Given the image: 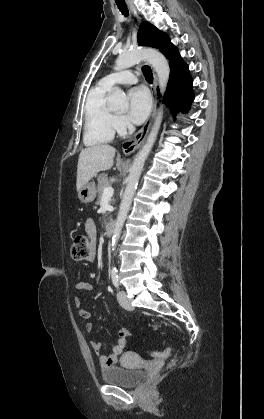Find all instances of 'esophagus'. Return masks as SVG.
<instances>
[{"label": "esophagus", "instance_id": "esophagus-1", "mask_svg": "<svg viewBox=\"0 0 264 419\" xmlns=\"http://www.w3.org/2000/svg\"><path fill=\"white\" fill-rule=\"evenodd\" d=\"M131 10H132L133 15L139 20L137 11L133 7H131ZM155 87H156V76L154 75V84L152 87L153 91L155 90ZM155 111H156V101L153 102L151 115L149 119L145 122L143 127L137 132V134L132 139L127 140L123 143L122 151L125 155H129L133 153L137 148H139L142 145L151 127V123H152Z\"/></svg>", "mask_w": 264, "mask_h": 419}]
</instances>
